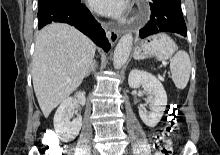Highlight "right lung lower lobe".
Here are the masks:
<instances>
[{
  "mask_svg": "<svg viewBox=\"0 0 220 155\" xmlns=\"http://www.w3.org/2000/svg\"><path fill=\"white\" fill-rule=\"evenodd\" d=\"M38 29L51 22L68 23L88 35L106 52L111 48L105 32L93 18L90 11L81 3H59L38 10Z\"/></svg>",
  "mask_w": 220,
  "mask_h": 155,
  "instance_id": "1",
  "label": "right lung lower lobe"
}]
</instances>
